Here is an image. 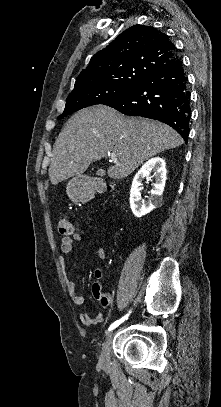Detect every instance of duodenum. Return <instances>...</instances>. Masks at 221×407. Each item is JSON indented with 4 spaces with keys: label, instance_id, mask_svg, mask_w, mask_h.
Instances as JSON below:
<instances>
[{
    "label": "duodenum",
    "instance_id": "duodenum-1",
    "mask_svg": "<svg viewBox=\"0 0 221 407\" xmlns=\"http://www.w3.org/2000/svg\"><path fill=\"white\" fill-rule=\"evenodd\" d=\"M106 184L105 183H101V184H94L89 186V188L87 189V197L88 199L93 198L96 194H98L99 192L105 190Z\"/></svg>",
    "mask_w": 221,
    "mask_h": 407
}]
</instances>
